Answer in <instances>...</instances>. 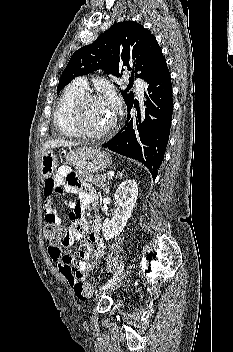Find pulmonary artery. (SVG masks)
Masks as SVG:
<instances>
[{
  "mask_svg": "<svg viewBox=\"0 0 233 352\" xmlns=\"http://www.w3.org/2000/svg\"><path fill=\"white\" fill-rule=\"evenodd\" d=\"M136 82H137L138 94L141 96V95H143V92H144L143 82L140 79H137ZM75 83L78 84L79 86H81L84 89L88 88V82H87L85 77L76 78Z\"/></svg>",
  "mask_w": 233,
  "mask_h": 352,
  "instance_id": "obj_1",
  "label": "pulmonary artery"
}]
</instances>
